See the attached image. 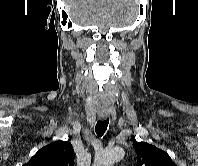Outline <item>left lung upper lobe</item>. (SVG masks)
<instances>
[{
    "mask_svg": "<svg viewBox=\"0 0 198 166\" xmlns=\"http://www.w3.org/2000/svg\"><path fill=\"white\" fill-rule=\"evenodd\" d=\"M133 147L137 154V166H176L165 151L153 145L134 140Z\"/></svg>",
    "mask_w": 198,
    "mask_h": 166,
    "instance_id": "left-lung-upper-lobe-1",
    "label": "left lung upper lobe"
}]
</instances>
